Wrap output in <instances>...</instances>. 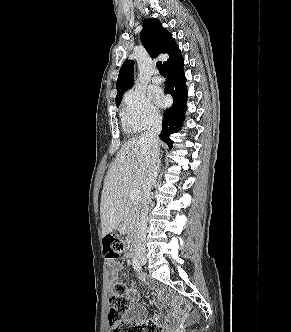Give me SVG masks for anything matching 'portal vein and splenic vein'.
Listing matches in <instances>:
<instances>
[{"label": "portal vein and splenic vein", "mask_w": 291, "mask_h": 332, "mask_svg": "<svg viewBox=\"0 0 291 332\" xmlns=\"http://www.w3.org/2000/svg\"><path fill=\"white\" fill-rule=\"evenodd\" d=\"M140 198V190L134 189L129 192V200L137 201Z\"/></svg>", "instance_id": "obj_1"}]
</instances>
